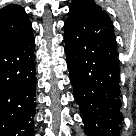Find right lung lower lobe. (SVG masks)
<instances>
[{"label":"right lung lower lobe","instance_id":"obj_1","mask_svg":"<svg viewBox=\"0 0 136 136\" xmlns=\"http://www.w3.org/2000/svg\"><path fill=\"white\" fill-rule=\"evenodd\" d=\"M34 36L0 46V136H32Z\"/></svg>","mask_w":136,"mask_h":136}]
</instances>
